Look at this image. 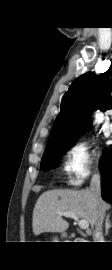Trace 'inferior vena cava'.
I'll return each instance as SVG.
<instances>
[{
    "instance_id": "obj_1",
    "label": "inferior vena cava",
    "mask_w": 112,
    "mask_h": 270,
    "mask_svg": "<svg viewBox=\"0 0 112 270\" xmlns=\"http://www.w3.org/2000/svg\"><path fill=\"white\" fill-rule=\"evenodd\" d=\"M90 191L96 202L101 199V175L100 173H95L91 179ZM105 211L103 209L98 210V218L95 225V230L93 233L94 242H104L102 223L104 219Z\"/></svg>"
}]
</instances>
